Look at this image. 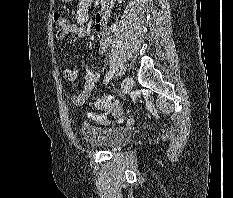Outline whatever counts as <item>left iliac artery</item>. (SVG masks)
<instances>
[{
    "mask_svg": "<svg viewBox=\"0 0 233 198\" xmlns=\"http://www.w3.org/2000/svg\"><path fill=\"white\" fill-rule=\"evenodd\" d=\"M113 74H114V71H109L106 74L105 79H104V81H105L106 84L110 81V79L112 78Z\"/></svg>",
    "mask_w": 233,
    "mask_h": 198,
    "instance_id": "obj_1",
    "label": "left iliac artery"
}]
</instances>
